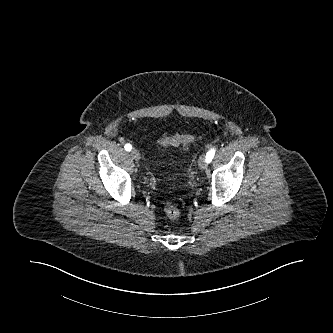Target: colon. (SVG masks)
I'll return each mask as SVG.
<instances>
[{"label":"colon","mask_w":333,"mask_h":333,"mask_svg":"<svg viewBox=\"0 0 333 333\" xmlns=\"http://www.w3.org/2000/svg\"><path fill=\"white\" fill-rule=\"evenodd\" d=\"M195 140V137L191 136V135H181V134H177L174 136H170V137H165L160 141V144L163 146H168V145H172V146H177V145H187L189 143H192ZM164 211L166 213V215L170 218V219H178L180 216V210L177 206H175L172 203H166L164 205Z\"/></svg>","instance_id":"obj_1"}]
</instances>
